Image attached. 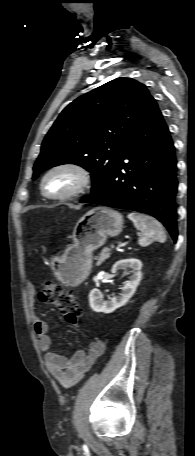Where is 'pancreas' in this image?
I'll return each mask as SVG.
<instances>
[{
    "instance_id": "1",
    "label": "pancreas",
    "mask_w": 195,
    "mask_h": 456,
    "mask_svg": "<svg viewBox=\"0 0 195 456\" xmlns=\"http://www.w3.org/2000/svg\"><path fill=\"white\" fill-rule=\"evenodd\" d=\"M111 250L108 247H105L100 252L99 256L96 257L97 263L96 266H100L102 262L110 257Z\"/></svg>"
}]
</instances>
